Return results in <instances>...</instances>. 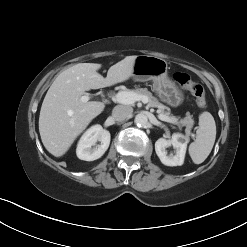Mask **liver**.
Segmentation results:
<instances>
[{
	"label": "liver",
	"instance_id": "obj_1",
	"mask_svg": "<svg viewBox=\"0 0 247 247\" xmlns=\"http://www.w3.org/2000/svg\"><path fill=\"white\" fill-rule=\"evenodd\" d=\"M137 56H127L111 66L104 78L97 71L101 64L79 63L60 73L43 100L39 116L42 143L55 157L64 155L74 140L105 108L99 101L81 102L91 89L112 86L133 74Z\"/></svg>",
	"mask_w": 247,
	"mask_h": 247
}]
</instances>
